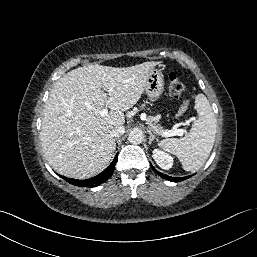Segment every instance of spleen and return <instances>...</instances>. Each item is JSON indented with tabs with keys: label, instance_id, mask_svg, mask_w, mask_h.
<instances>
[{
	"label": "spleen",
	"instance_id": "3e777b00",
	"mask_svg": "<svg viewBox=\"0 0 257 257\" xmlns=\"http://www.w3.org/2000/svg\"><path fill=\"white\" fill-rule=\"evenodd\" d=\"M195 108L198 119L188 135L179 139H164L159 143L165 151L179 158L184 170L191 172L197 171L206 162L217 131V120L205 95L196 96Z\"/></svg>",
	"mask_w": 257,
	"mask_h": 257
}]
</instances>
